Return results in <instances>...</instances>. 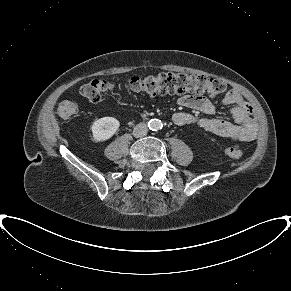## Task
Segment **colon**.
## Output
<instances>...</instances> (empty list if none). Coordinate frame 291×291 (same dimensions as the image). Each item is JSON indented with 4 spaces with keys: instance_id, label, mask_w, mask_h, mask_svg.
<instances>
[{
    "instance_id": "obj_1",
    "label": "colon",
    "mask_w": 291,
    "mask_h": 291,
    "mask_svg": "<svg viewBox=\"0 0 291 291\" xmlns=\"http://www.w3.org/2000/svg\"><path fill=\"white\" fill-rule=\"evenodd\" d=\"M121 87L149 96L185 93H208L216 96L225 90L224 83L216 78L163 71L145 77H132L122 85L110 80L94 79L80 88V94L91 102H99L107 93ZM77 111L78 105L72 101H63L57 109L58 115L64 119L72 117ZM223 153L233 160L243 156V150L239 145L229 146Z\"/></svg>"
}]
</instances>
